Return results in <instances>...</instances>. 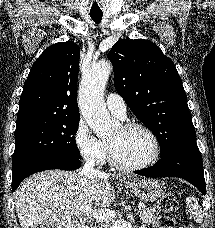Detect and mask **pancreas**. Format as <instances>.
<instances>
[{
	"mask_svg": "<svg viewBox=\"0 0 215 228\" xmlns=\"http://www.w3.org/2000/svg\"><path fill=\"white\" fill-rule=\"evenodd\" d=\"M139 216L143 226H146V224H155L156 222L154 212H152V210H149V208H144V210H140Z\"/></svg>",
	"mask_w": 215,
	"mask_h": 228,
	"instance_id": "pancreas-1",
	"label": "pancreas"
}]
</instances>
